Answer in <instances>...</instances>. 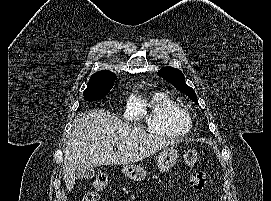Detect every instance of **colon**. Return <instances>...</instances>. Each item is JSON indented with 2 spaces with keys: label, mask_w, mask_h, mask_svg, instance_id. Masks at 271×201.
I'll list each match as a JSON object with an SVG mask.
<instances>
[{
  "label": "colon",
  "mask_w": 271,
  "mask_h": 201,
  "mask_svg": "<svg viewBox=\"0 0 271 201\" xmlns=\"http://www.w3.org/2000/svg\"><path fill=\"white\" fill-rule=\"evenodd\" d=\"M200 154L197 149H189L185 154V163L187 167H193L199 160ZM108 179L104 176H99L91 183L90 190L85 194L82 201H98L99 196L106 190Z\"/></svg>",
  "instance_id": "obj_1"
}]
</instances>
